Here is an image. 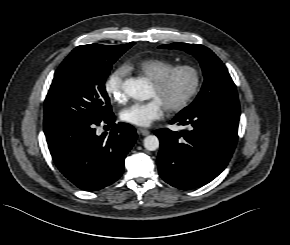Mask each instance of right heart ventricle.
<instances>
[{"mask_svg": "<svg viewBox=\"0 0 290 245\" xmlns=\"http://www.w3.org/2000/svg\"><path fill=\"white\" fill-rule=\"evenodd\" d=\"M173 66L174 64L170 61L158 58H147L128 62L126 69L135 71L153 81Z\"/></svg>", "mask_w": 290, "mask_h": 245, "instance_id": "e07e8e85", "label": "right heart ventricle"}]
</instances>
